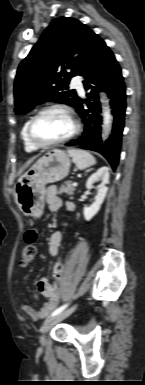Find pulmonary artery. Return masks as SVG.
<instances>
[{"instance_id":"1","label":"pulmonary artery","mask_w":145,"mask_h":385,"mask_svg":"<svg viewBox=\"0 0 145 385\" xmlns=\"http://www.w3.org/2000/svg\"><path fill=\"white\" fill-rule=\"evenodd\" d=\"M71 86L75 89H77V91L80 93V94H83L84 93V89H83V86H82V83L80 81V78L78 77H74L72 78L71 80Z\"/></svg>"}]
</instances>
